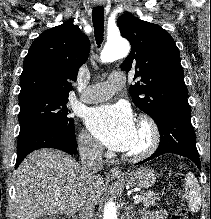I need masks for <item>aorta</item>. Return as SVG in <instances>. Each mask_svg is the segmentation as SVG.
<instances>
[{
	"label": "aorta",
	"instance_id": "obj_1",
	"mask_svg": "<svg viewBox=\"0 0 211 219\" xmlns=\"http://www.w3.org/2000/svg\"><path fill=\"white\" fill-rule=\"evenodd\" d=\"M130 52L129 43L121 38L108 41L101 53L102 62H112L116 59L125 57ZM103 219H118L116 207L113 202H109L105 206Z\"/></svg>",
	"mask_w": 211,
	"mask_h": 219
}]
</instances>
